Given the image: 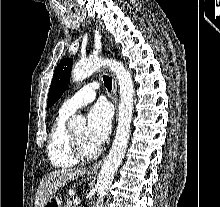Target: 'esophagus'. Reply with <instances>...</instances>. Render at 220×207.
<instances>
[{"label":"esophagus","mask_w":220,"mask_h":207,"mask_svg":"<svg viewBox=\"0 0 220 207\" xmlns=\"http://www.w3.org/2000/svg\"><path fill=\"white\" fill-rule=\"evenodd\" d=\"M107 50H110V47L108 43L105 45ZM112 92L110 95V98L116 108V116H117V105H118V97H117V81L114 75H112ZM103 162V159H100L98 162H96L88 171L89 174H96Z\"/></svg>","instance_id":"34e87169"}]
</instances>
